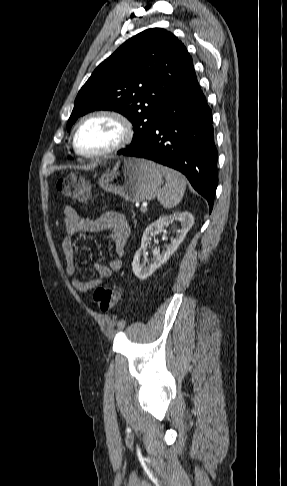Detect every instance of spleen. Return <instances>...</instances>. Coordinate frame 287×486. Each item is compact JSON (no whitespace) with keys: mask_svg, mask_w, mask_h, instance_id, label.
I'll return each mask as SVG.
<instances>
[{"mask_svg":"<svg viewBox=\"0 0 287 486\" xmlns=\"http://www.w3.org/2000/svg\"><path fill=\"white\" fill-rule=\"evenodd\" d=\"M160 171L166 179L165 186L160 190L157 195L160 204L170 209L180 203L183 198L186 189V178L176 170L158 165Z\"/></svg>","mask_w":287,"mask_h":486,"instance_id":"obj_1","label":"spleen"}]
</instances>
